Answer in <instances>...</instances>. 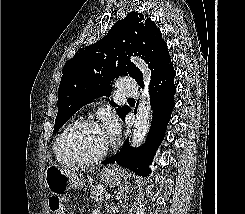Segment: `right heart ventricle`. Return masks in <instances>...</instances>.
<instances>
[{
    "label": "right heart ventricle",
    "instance_id": "1",
    "mask_svg": "<svg viewBox=\"0 0 245 214\" xmlns=\"http://www.w3.org/2000/svg\"><path fill=\"white\" fill-rule=\"evenodd\" d=\"M77 120H72L71 122H69L62 130L61 132L58 134V136L56 137L54 143H53V152H54V155L56 157V159L63 165H71L70 163L64 161L60 155H59V152H58V143H59V140L61 138V136L63 135V133L72 125L76 122Z\"/></svg>",
    "mask_w": 245,
    "mask_h": 214
}]
</instances>
